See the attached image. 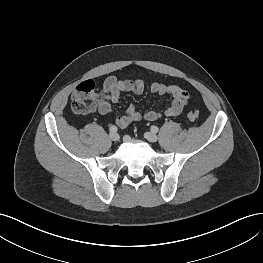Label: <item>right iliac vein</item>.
<instances>
[{
	"instance_id": "right-iliac-vein-1",
	"label": "right iliac vein",
	"mask_w": 263,
	"mask_h": 263,
	"mask_svg": "<svg viewBox=\"0 0 263 263\" xmlns=\"http://www.w3.org/2000/svg\"><path fill=\"white\" fill-rule=\"evenodd\" d=\"M109 138L112 140V141H118L119 140V135L116 133V132H111L109 134Z\"/></svg>"
}]
</instances>
